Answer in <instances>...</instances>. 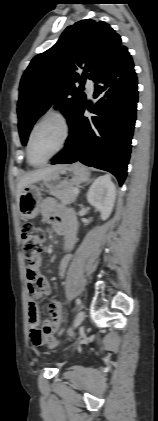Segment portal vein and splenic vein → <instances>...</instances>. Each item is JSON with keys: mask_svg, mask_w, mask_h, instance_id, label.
<instances>
[{"mask_svg": "<svg viewBox=\"0 0 158 421\" xmlns=\"http://www.w3.org/2000/svg\"><path fill=\"white\" fill-rule=\"evenodd\" d=\"M73 193H74L75 195H77V194L79 193V190H78L77 188H75V189L73 190Z\"/></svg>", "mask_w": 158, "mask_h": 421, "instance_id": "obj_1", "label": "portal vein and splenic vein"}]
</instances>
